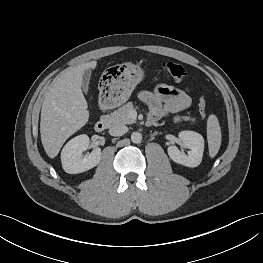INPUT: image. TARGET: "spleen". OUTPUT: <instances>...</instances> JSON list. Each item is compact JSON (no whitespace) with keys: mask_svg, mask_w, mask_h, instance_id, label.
Instances as JSON below:
<instances>
[{"mask_svg":"<svg viewBox=\"0 0 263 263\" xmlns=\"http://www.w3.org/2000/svg\"><path fill=\"white\" fill-rule=\"evenodd\" d=\"M221 128L217 117L211 114L207 120V141L210 157H215L221 146Z\"/></svg>","mask_w":263,"mask_h":263,"instance_id":"3e777b00","label":"spleen"}]
</instances>
